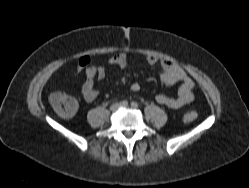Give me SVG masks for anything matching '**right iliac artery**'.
Instances as JSON below:
<instances>
[{
    "mask_svg": "<svg viewBox=\"0 0 249 188\" xmlns=\"http://www.w3.org/2000/svg\"><path fill=\"white\" fill-rule=\"evenodd\" d=\"M121 105L124 106V107H126L128 105V101H126V100L122 101Z\"/></svg>",
    "mask_w": 249,
    "mask_h": 188,
    "instance_id": "82829eb1",
    "label": "right iliac artery"
}]
</instances>
